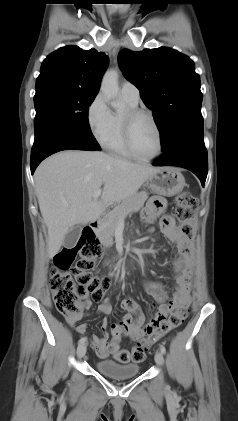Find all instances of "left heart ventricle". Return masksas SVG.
Listing matches in <instances>:
<instances>
[{
	"label": "left heart ventricle",
	"instance_id": "left-heart-ventricle-1",
	"mask_svg": "<svg viewBox=\"0 0 238 421\" xmlns=\"http://www.w3.org/2000/svg\"><path fill=\"white\" fill-rule=\"evenodd\" d=\"M132 141L136 152L151 157L158 150V136L152 122L145 116L138 117L132 127Z\"/></svg>",
	"mask_w": 238,
	"mask_h": 421
}]
</instances>
